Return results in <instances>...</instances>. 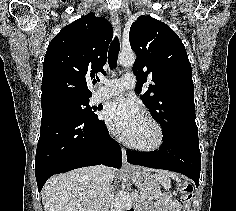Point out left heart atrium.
Here are the masks:
<instances>
[{"label":"left heart atrium","instance_id":"left-heart-atrium-1","mask_svg":"<svg viewBox=\"0 0 236 211\" xmlns=\"http://www.w3.org/2000/svg\"><path fill=\"white\" fill-rule=\"evenodd\" d=\"M104 120L127 136L142 119L139 105L130 98L119 97L110 101L103 112Z\"/></svg>","mask_w":236,"mask_h":211}]
</instances>
